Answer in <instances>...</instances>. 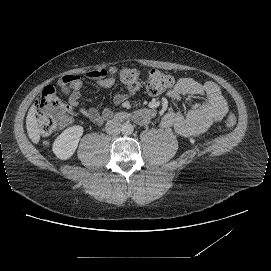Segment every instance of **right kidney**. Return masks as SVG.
<instances>
[{"instance_id": "obj_1", "label": "right kidney", "mask_w": 271, "mask_h": 271, "mask_svg": "<svg viewBox=\"0 0 271 271\" xmlns=\"http://www.w3.org/2000/svg\"><path fill=\"white\" fill-rule=\"evenodd\" d=\"M82 134L83 127L79 125L65 129L53 143L54 154L62 160L70 158L74 154Z\"/></svg>"}]
</instances>
